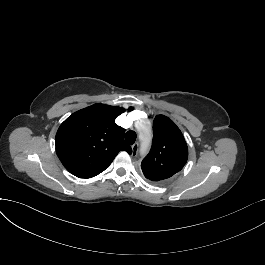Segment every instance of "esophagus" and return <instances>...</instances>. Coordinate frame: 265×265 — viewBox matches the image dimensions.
Wrapping results in <instances>:
<instances>
[{
	"mask_svg": "<svg viewBox=\"0 0 265 265\" xmlns=\"http://www.w3.org/2000/svg\"><path fill=\"white\" fill-rule=\"evenodd\" d=\"M138 150H139V144L138 143H134L132 145V156H137Z\"/></svg>",
	"mask_w": 265,
	"mask_h": 265,
	"instance_id": "1",
	"label": "esophagus"
}]
</instances>
